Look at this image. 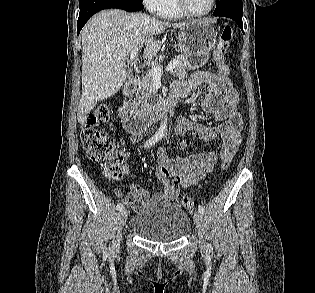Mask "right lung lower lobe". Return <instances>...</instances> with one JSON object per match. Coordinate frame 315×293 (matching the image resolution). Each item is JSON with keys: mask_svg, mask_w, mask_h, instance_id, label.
Segmentation results:
<instances>
[{"mask_svg": "<svg viewBox=\"0 0 315 293\" xmlns=\"http://www.w3.org/2000/svg\"><path fill=\"white\" fill-rule=\"evenodd\" d=\"M108 8H119L131 12L142 10L144 6L142 0H80V14L77 21L78 34L93 14Z\"/></svg>", "mask_w": 315, "mask_h": 293, "instance_id": "1", "label": "right lung lower lobe"}]
</instances>
